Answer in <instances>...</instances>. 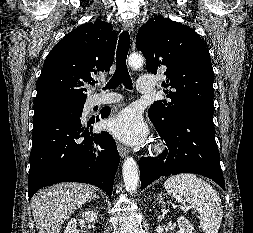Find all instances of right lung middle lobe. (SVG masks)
Listing matches in <instances>:
<instances>
[{
  "label": "right lung middle lobe",
  "mask_w": 253,
  "mask_h": 233,
  "mask_svg": "<svg viewBox=\"0 0 253 233\" xmlns=\"http://www.w3.org/2000/svg\"><path fill=\"white\" fill-rule=\"evenodd\" d=\"M84 103L85 100L54 98L34 104V112L36 114L48 109L63 108L82 114Z\"/></svg>",
  "instance_id": "right-lung-middle-lobe-1"
}]
</instances>
